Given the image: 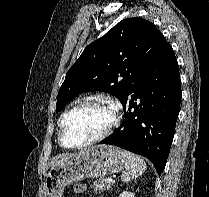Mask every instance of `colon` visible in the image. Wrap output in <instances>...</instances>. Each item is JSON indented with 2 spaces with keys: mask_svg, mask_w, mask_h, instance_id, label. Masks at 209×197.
Here are the masks:
<instances>
[{
  "mask_svg": "<svg viewBox=\"0 0 209 197\" xmlns=\"http://www.w3.org/2000/svg\"><path fill=\"white\" fill-rule=\"evenodd\" d=\"M83 187L82 186H76V191H82Z\"/></svg>",
  "mask_w": 209,
  "mask_h": 197,
  "instance_id": "colon-1",
  "label": "colon"
}]
</instances>
